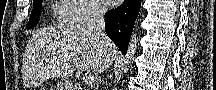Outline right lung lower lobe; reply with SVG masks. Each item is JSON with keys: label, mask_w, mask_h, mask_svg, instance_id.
<instances>
[{"label": "right lung lower lobe", "mask_w": 216, "mask_h": 90, "mask_svg": "<svg viewBox=\"0 0 216 90\" xmlns=\"http://www.w3.org/2000/svg\"><path fill=\"white\" fill-rule=\"evenodd\" d=\"M141 0H127L116 9L105 14L106 34L125 55L135 20L139 14Z\"/></svg>", "instance_id": "right-lung-lower-lobe-1"}]
</instances>
